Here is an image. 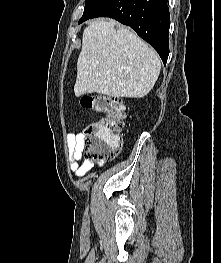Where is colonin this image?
Listing matches in <instances>:
<instances>
[{
    "label": "colon",
    "instance_id": "colon-1",
    "mask_svg": "<svg viewBox=\"0 0 221 263\" xmlns=\"http://www.w3.org/2000/svg\"><path fill=\"white\" fill-rule=\"evenodd\" d=\"M80 104L83 108L102 114L85 129V158L97 161L115 157L120 149L121 129L126 118L123 102L119 98L99 94L82 96Z\"/></svg>",
    "mask_w": 221,
    "mask_h": 263
}]
</instances>
